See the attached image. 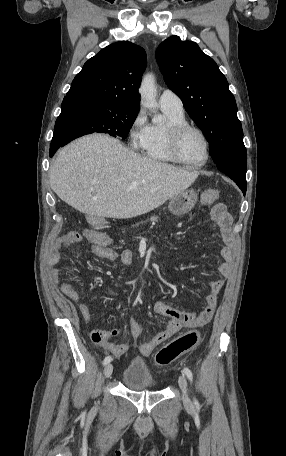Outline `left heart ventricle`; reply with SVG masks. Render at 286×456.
<instances>
[{"label": "left heart ventricle", "mask_w": 286, "mask_h": 456, "mask_svg": "<svg viewBox=\"0 0 286 456\" xmlns=\"http://www.w3.org/2000/svg\"><path fill=\"white\" fill-rule=\"evenodd\" d=\"M179 152L187 161L199 163L206 155L204 140L197 132L189 130L180 138Z\"/></svg>", "instance_id": "left-heart-ventricle-1"}]
</instances>
